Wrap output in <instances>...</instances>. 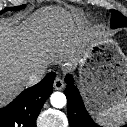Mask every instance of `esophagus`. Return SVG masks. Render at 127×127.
Wrapping results in <instances>:
<instances>
[{
	"label": "esophagus",
	"mask_w": 127,
	"mask_h": 127,
	"mask_svg": "<svg viewBox=\"0 0 127 127\" xmlns=\"http://www.w3.org/2000/svg\"><path fill=\"white\" fill-rule=\"evenodd\" d=\"M53 86L56 90H61L64 87V82L60 77H56L54 80Z\"/></svg>",
	"instance_id": "obj_1"
}]
</instances>
